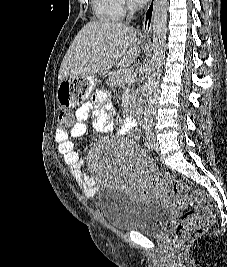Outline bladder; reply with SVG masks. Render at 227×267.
<instances>
[{"label": "bladder", "mask_w": 227, "mask_h": 267, "mask_svg": "<svg viewBox=\"0 0 227 267\" xmlns=\"http://www.w3.org/2000/svg\"><path fill=\"white\" fill-rule=\"evenodd\" d=\"M100 210L106 223L120 231L158 235L174 218V211L152 199L130 198L124 191L104 188Z\"/></svg>", "instance_id": "obj_1"}]
</instances>
